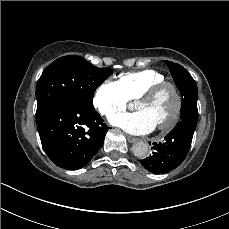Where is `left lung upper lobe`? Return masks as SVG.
I'll return each mask as SVG.
<instances>
[{
	"instance_id": "left-lung-upper-lobe-1",
	"label": "left lung upper lobe",
	"mask_w": 229,
	"mask_h": 229,
	"mask_svg": "<svg viewBox=\"0 0 229 229\" xmlns=\"http://www.w3.org/2000/svg\"><path fill=\"white\" fill-rule=\"evenodd\" d=\"M166 64L172 74L176 86L178 87L181 93V96L183 98L188 96H197L198 91H197L196 82L192 78V76L188 73V71L184 69L181 65L170 61H166ZM180 113H181V121H185V117L182 111Z\"/></svg>"
}]
</instances>
